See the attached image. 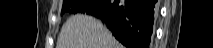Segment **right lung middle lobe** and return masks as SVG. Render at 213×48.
Here are the masks:
<instances>
[{"label": "right lung middle lobe", "mask_w": 213, "mask_h": 48, "mask_svg": "<svg viewBox=\"0 0 213 48\" xmlns=\"http://www.w3.org/2000/svg\"><path fill=\"white\" fill-rule=\"evenodd\" d=\"M92 0H64L62 6V12H70V13H83Z\"/></svg>", "instance_id": "obj_1"}]
</instances>
